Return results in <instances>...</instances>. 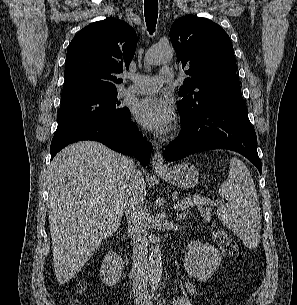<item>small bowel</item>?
Here are the masks:
<instances>
[{
  "mask_svg": "<svg viewBox=\"0 0 297 305\" xmlns=\"http://www.w3.org/2000/svg\"><path fill=\"white\" fill-rule=\"evenodd\" d=\"M184 284H185V287H186L188 292H190L192 294L196 293V288L191 282L185 281Z\"/></svg>",
  "mask_w": 297,
  "mask_h": 305,
  "instance_id": "c3829d8e",
  "label": "small bowel"
}]
</instances>
